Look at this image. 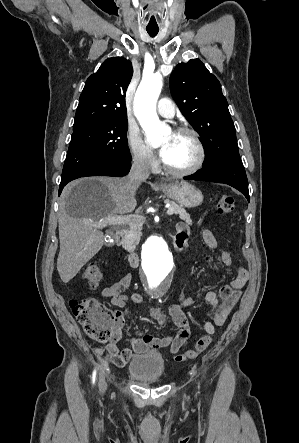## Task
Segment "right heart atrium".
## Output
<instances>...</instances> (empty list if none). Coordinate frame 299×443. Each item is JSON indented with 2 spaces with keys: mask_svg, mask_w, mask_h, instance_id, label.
<instances>
[{
  "mask_svg": "<svg viewBox=\"0 0 299 443\" xmlns=\"http://www.w3.org/2000/svg\"><path fill=\"white\" fill-rule=\"evenodd\" d=\"M126 139L133 163L144 170L153 169L156 165V159L153 152L143 141L139 130L129 127Z\"/></svg>",
  "mask_w": 299,
  "mask_h": 443,
  "instance_id": "1",
  "label": "right heart atrium"
}]
</instances>
